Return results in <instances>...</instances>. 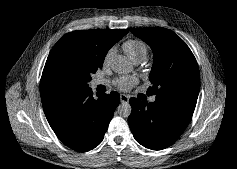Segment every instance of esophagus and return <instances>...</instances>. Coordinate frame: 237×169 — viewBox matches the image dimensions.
I'll return each instance as SVG.
<instances>
[{
    "label": "esophagus",
    "mask_w": 237,
    "mask_h": 169,
    "mask_svg": "<svg viewBox=\"0 0 237 169\" xmlns=\"http://www.w3.org/2000/svg\"><path fill=\"white\" fill-rule=\"evenodd\" d=\"M120 100L122 103H128L129 97L125 94H120Z\"/></svg>",
    "instance_id": "esophagus-1"
}]
</instances>
